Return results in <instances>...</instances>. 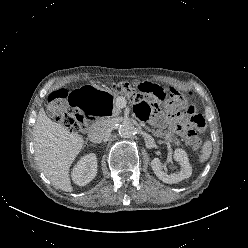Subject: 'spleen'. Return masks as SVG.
I'll use <instances>...</instances> for the list:
<instances>
[{"instance_id":"spleen-1","label":"spleen","mask_w":248,"mask_h":248,"mask_svg":"<svg viewBox=\"0 0 248 248\" xmlns=\"http://www.w3.org/2000/svg\"><path fill=\"white\" fill-rule=\"evenodd\" d=\"M211 152H212V144L209 140H207L204 142L202 146L201 153L198 159L199 162L202 164L205 163L209 159Z\"/></svg>"}]
</instances>
